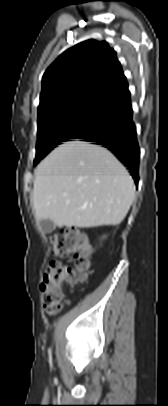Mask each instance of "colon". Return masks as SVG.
Returning <instances> with one entry per match:
<instances>
[{
	"label": "colon",
	"instance_id": "5ec220e1",
	"mask_svg": "<svg viewBox=\"0 0 168 406\" xmlns=\"http://www.w3.org/2000/svg\"><path fill=\"white\" fill-rule=\"evenodd\" d=\"M53 253L57 257L75 256L73 267L59 261L47 264L40 289L44 309L49 315L60 311L63 288L66 284L83 283L92 271L91 249L84 235L77 229H60L52 238Z\"/></svg>",
	"mask_w": 168,
	"mask_h": 406
}]
</instances>
